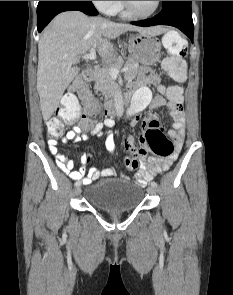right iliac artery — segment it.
<instances>
[{"mask_svg": "<svg viewBox=\"0 0 233 295\" xmlns=\"http://www.w3.org/2000/svg\"><path fill=\"white\" fill-rule=\"evenodd\" d=\"M75 179H80V177H76ZM77 185V182L75 183V186Z\"/></svg>", "mask_w": 233, "mask_h": 295, "instance_id": "1", "label": "right iliac artery"}]
</instances>
